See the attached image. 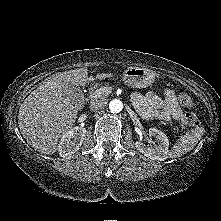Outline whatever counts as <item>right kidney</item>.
Masks as SVG:
<instances>
[{
  "label": "right kidney",
  "mask_w": 221,
  "mask_h": 221,
  "mask_svg": "<svg viewBox=\"0 0 221 221\" xmlns=\"http://www.w3.org/2000/svg\"><path fill=\"white\" fill-rule=\"evenodd\" d=\"M86 136V129L74 127L67 131L58 144L59 155L63 158L69 157L79 150Z\"/></svg>",
  "instance_id": "right-kidney-1"
}]
</instances>
